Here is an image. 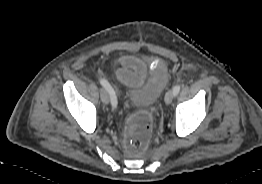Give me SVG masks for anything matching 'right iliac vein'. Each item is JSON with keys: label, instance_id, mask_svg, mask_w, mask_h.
I'll return each instance as SVG.
<instances>
[{"label": "right iliac vein", "instance_id": "1", "mask_svg": "<svg viewBox=\"0 0 262 184\" xmlns=\"http://www.w3.org/2000/svg\"><path fill=\"white\" fill-rule=\"evenodd\" d=\"M101 100H102V102L105 103V104H108V103H109V101H110V94H109L108 90L103 89V90L101 91Z\"/></svg>", "mask_w": 262, "mask_h": 184}]
</instances>
